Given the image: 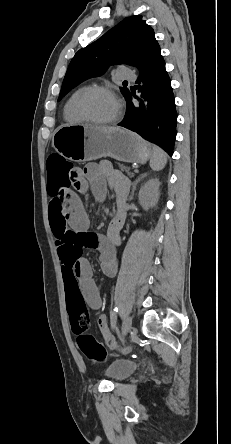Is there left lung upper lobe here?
Wrapping results in <instances>:
<instances>
[{"instance_id": "left-lung-upper-lobe-1", "label": "left lung upper lobe", "mask_w": 231, "mask_h": 444, "mask_svg": "<svg viewBox=\"0 0 231 444\" xmlns=\"http://www.w3.org/2000/svg\"><path fill=\"white\" fill-rule=\"evenodd\" d=\"M153 29L141 15L125 18L95 42L81 48L67 69L58 101L84 80L105 73L112 64L142 66L159 50ZM123 95L128 88H121Z\"/></svg>"}]
</instances>
